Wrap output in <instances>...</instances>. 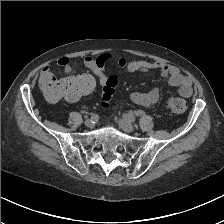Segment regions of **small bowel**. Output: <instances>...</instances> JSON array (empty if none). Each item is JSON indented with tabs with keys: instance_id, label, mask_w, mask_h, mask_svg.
Returning a JSON list of instances; mask_svg holds the SVG:
<instances>
[{
	"instance_id": "1",
	"label": "small bowel",
	"mask_w": 224,
	"mask_h": 224,
	"mask_svg": "<svg viewBox=\"0 0 224 224\" xmlns=\"http://www.w3.org/2000/svg\"><path fill=\"white\" fill-rule=\"evenodd\" d=\"M114 59L113 55L109 53L98 55L97 57L87 56L84 59V65L89 69L98 81L104 85L107 81V77L103 73V69L106 64ZM116 61L119 67L126 69L129 72H147L150 70H159L160 75L164 78H168L170 86L177 87L179 93L183 97H190L192 95V83L189 78L184 76L177 67L163 62H149L146 60H137L128 57H117ZM56 65L61 67H67L69 60L66 57H61L56 60ZM53 77L51 67L45 66L41 72L40 82L41 84L48 78ZM159 99V89L152 88L144 92H133L130 95V100L138 105L149 107L154 105Z\"/></svg>"
}]
</instances>
